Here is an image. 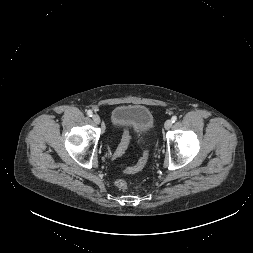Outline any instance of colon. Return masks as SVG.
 Listing matches in <instances>:
<instances>
[{"label":"colon","instance_id":"1","mask_svg":"<svg viewBox=\"0 0 253 253\" xmlns=\"http://www.w3.org/2000/svg\"><path fill=\"white\" fill-rule=\"evenodd\" d=\"M129 139H130V136H129L128 132H126L120 146L118 147V149L115 153V157L120 156L125 151V149L128 146ZM148 158H149V150L146 149L142 158L140 159V161L135 166L126 168L125 172L135 173V172L139 171L140 169H142L145 166V164L148 161ZM131 185H132V182L129 180H126V179H118L116 181V186L122 190L129 188Z\"/></svg>","mask_w":253,"mask_h":253}]
</instances>
